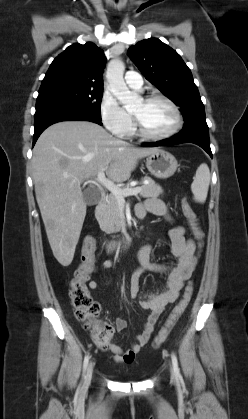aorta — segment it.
Segmentation results:
<instances>
[{
  "instance_id": "762f6f07",
  "label": "aorta",
  "mask_w": 248,
  "mask_h": 419,
  "mask_svg": "<svg viewBox=\"0 0 248 419\" xmlns=\"http://www.w3.org/2000/svg\"><path fill=\"white\" fill-rule=\"evenodd\" d=\"M124 70V63L119 58L112 59L107 67L106 78L110 91L127 110H130L140 101V98L129 91L126 86L123 78Z\"/></svg>"
}]
</instances>
